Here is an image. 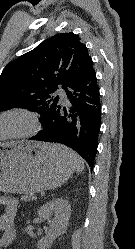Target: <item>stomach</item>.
<instances>
[{
    "mask_svg": "<svg viewBox=\"0 0 135 249\" xmlns=\"http://www.w3.org/2000/svg\"><path fill=\"white\" fill-rule=\"evenodd\" d=\"M59 146L24 141L0 144V191L27 194L62 185L75 164Z\"/></svg>",
    "mask_w": 135,
    "mask_h": 249,
    "instance_id": "stomach-1",
    "label": "stomach"
}]
</instances>
